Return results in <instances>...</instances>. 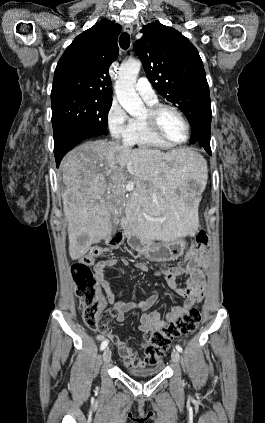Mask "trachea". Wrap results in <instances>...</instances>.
I'll return each mask as SVG.
<instances>
[{"instance_id": "obj_1", "label": "trachea", "mask_w": 265, "mask_h": 423, "mask_svg": "<svg viewBox=\"0 0 265 423\" xmlns=\"http://www.w3.org/2000/svg\"><path fill=\"white\" fill-rule=\"evenodd\" d=\"M120 47L123 50H127L130 46V36L128 33H122L119 38Z\"/></svg>"}]
</instances>
